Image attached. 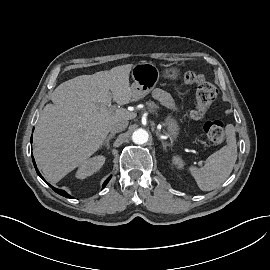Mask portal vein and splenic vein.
<instances>
[{
    "label": "portal vein and splenic vein",
    "mask_w": 270,
    "mask_h": 270,
    "mask_svg": "<svg viewBox=\"0 0 270 270\" xmlns=\"http://www.w3.org/2000/svg\"><path fill=\"white\" fill-rule=\"evenodd\" d=\"M109 107L111 108V109H115L116 108V106L115 105H109ZM199 164H202L201 162H199Z\"/></svg>",
    "instance_id": "portal-vein-and-splenic-vein-1"
}]
</instances>
